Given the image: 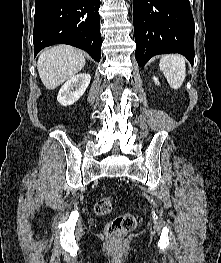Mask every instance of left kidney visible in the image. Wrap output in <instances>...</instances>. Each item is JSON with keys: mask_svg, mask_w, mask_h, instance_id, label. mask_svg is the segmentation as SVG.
<instances>
[{"mask_svg": "<svg viewBox=\"0 0 221 263\" xmlns=\"http://www.w3.org/2000/svg\"><path fill=\"white\" fill-rule=\"evenodd\" d=\"M153 79H154V82L159 85L158 79L156 77H154Z\"/></svg>", "mask_w": 221, "mask_h": 263, "instance_id": "left-kidney-1", "label": "left kidney"}]
</instances>
